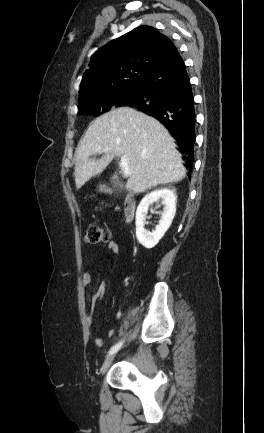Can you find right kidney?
I'll return each instance as SVG.
<instances>
[{
  "label": "right kidney",
  "mask_w": 264,
  "mask_h": 433,
  "mask_svg": "<svg viewBox=\"0 0 264 433\" xmlns=\"http://www.w3.org/2000/svg\"><path fill=\"white\" fill-rule=\"evenodd\" d=\"M176 199L177 196L174 189L162 188L147 194L141 200L136 211V237L139 243L145 248L150 249L156 246L171 226L176 213ZM159 200H161L164 205L163 213L155 230L149 232L144 228L148 208L151 204Z\"/></svg>",
  "instance_id": "right-kidney-1"
}]
</instances>
